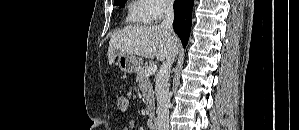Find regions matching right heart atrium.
Instances as JSON below:
<instances>
[{
  "label": "right heart atrium",
  "instance_id": "obj_1",
  "mask_svg": "<svg viewBox=\"0 0 299 130\" xmlns=\"http://www.w3.org/2000/svg\"><path fill=\"white\" fill-rule=\"evenodd\" d=\"M146 6V19L148 22H157L168 13L173 6L170 0H143Z\"/></svg>",
  "mask_w": 299,
  "mask_h": 130
}]
</instances>
